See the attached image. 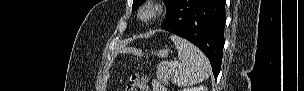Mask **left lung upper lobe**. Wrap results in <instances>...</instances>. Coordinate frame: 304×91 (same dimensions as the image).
Returning <instances> with one entry per match:
<instances>
[{
    "instance_id": "obj_1",
    "label": "left lung upper lobe",
    "mask_w": 304,
    "mask_h": 91,
    "mask_svg": "<svg viewBox=\"0 0 304 91\" xmlns=\"http://www.w3.org/2000/svg\"><path fill=\"white\" fill-rule=\"evenodd\" d=\"M166 5L167 15L170 13L178 0H163ZM145 0H133L132 11L134 12Z\"/></svg>"
}]
</instances>
